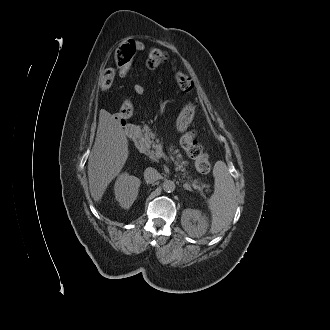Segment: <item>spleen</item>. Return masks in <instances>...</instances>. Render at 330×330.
Returning <instances> with one entry per match:
<instances>
[{
    "instance_id": "spleen-1",
    "label": "spleen",
    "mask_w": 330,
    "mask_h": 330,
    "mask_svg": "<svg viewBox=\"0 0 330 330\" xmlns=\"http://www.w3.org/2000/svg\"><path fill=\"white\" fill-rule=\"evenodd\" d=\"M215 191L208 199V208L212 221L210 232L216 234L224 229L231 221L236 207V189L226 163L217 161L213 168Z\"/></svg>"
}]
</instances>
